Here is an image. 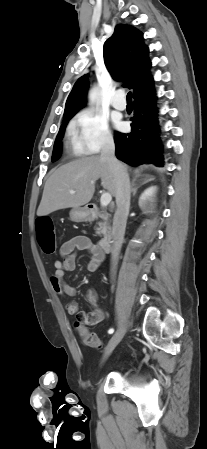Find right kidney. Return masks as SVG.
Instances as JSON below:
<instances>
[{
  "label": "right kidney",
  "mask_w": 207,
  "mask_h": 449,
  "mask_svg": "<svg viewBox=\"0 0 207 449\" xmlns=\"http://www.w3.org/2000/svg\"><path fill=\"white\" fill-rule=\"evenodd\" d=\"M155 191H156V187H150L142 193V195L139 199V206L141 208H143V205L147 200H150L154 196Z\"/></svg>",
  "instance_id": "1"
}]
</instances>
